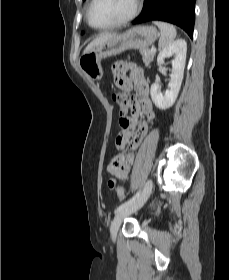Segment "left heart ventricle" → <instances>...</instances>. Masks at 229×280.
Masks as SVG:
<instances>
[{
	"label": "left heart ventricle",
	"instance_id": "1",
	"mask_svg": "<svg viewBox=\"0 0 229 280\" xmlns=\"http://www.w3.org/2000/svg\"><path fill=\"white\" fill-rule=\"evenodd\" d=\"M135 0H98L92 11V22L102 26L127 17Z\"/></svg>",
	"mask_w": 229,
	"mask_h": 280
}]
</instances>
